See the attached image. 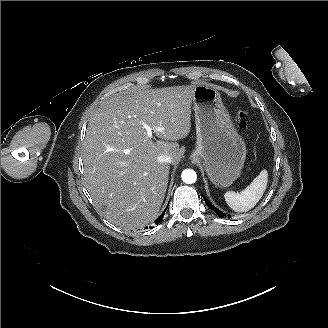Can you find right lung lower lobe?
<instances>
[{"instance_id":"1","label":"right lung lower lobe","mask_w":328,"mask_h":328,"mask_svg":"<svg viewBox=\"0 0 328 328\" xmlns=\"http://www.w3.org/2000/svg\"><path fill=\"white\" fill-rule=\"evenodd\" d=\"M166 209L163 211V213L160 215V217L155 221L156 224H158L161 221V219L163 218V216L165 214Z\"/></svg>"}]
</instances>
